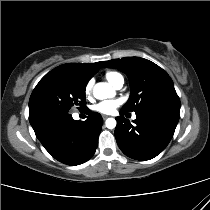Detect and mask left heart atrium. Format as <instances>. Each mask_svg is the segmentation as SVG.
<instances>
[{
  "label": "left heart atrium",
  "mask_w": 210,
  "mask_h": 210,
  "mask_svg": "<svg viewBox=\"0 0 210 210\" xmlns=\"http://www.w3.org/2000/svg\"><path fill=\"white\" fill-rule=\"evenodd\" d=\"M119 105H120L119 100H104V101H100L94 104L91 107V109L94 112L109 115V114H113Z\"/></svg>",
  "instance_id": "1"
}]
</instances>
